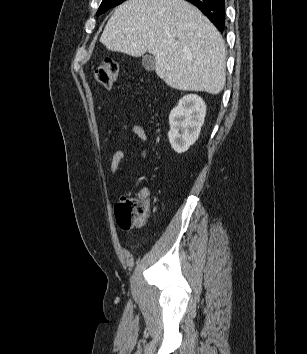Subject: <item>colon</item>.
Masks as SVG:
<instances>
[{"label":"colon","instance_id":"obj_1","mask_svg":"<svg viewBox=\"0 0 307 354\" xmlns=\"http://www.w3.org/2000/svg\"><path fill=\"white\" fill-rule=\"evenodd\" d=\"M119 75V66L112 59H106L93 70V77L103 87L110 89ZM152 205L148 196H123L115 206V218L123 230L141 228L151 217Z\"/></svg>","mask_w":307,"mask_h":354}]
</instances>
